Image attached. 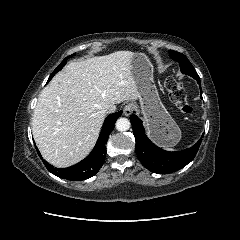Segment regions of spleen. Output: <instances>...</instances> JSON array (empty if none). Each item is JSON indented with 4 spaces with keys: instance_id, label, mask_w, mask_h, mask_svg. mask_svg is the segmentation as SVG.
Masks as SVG:
<instances>
[{
    "instance_id": "3e777b00",
    "label": "spleen",
    "mask_w": 240,
    "mask_h": 240,
    "mask_svg": "<svg viewBox=\"0 0 240 240\" xmlns=\"http://www.w3.org/2000/svg\"><path fill=\"white\" fill-rule=\"evenodd\" d=\"M162 148L166 149V150H169V151H173L174 150L172 148H169V146H167V145H162Z\"/></svg>"
}]
</instances>
